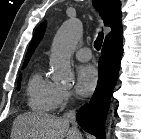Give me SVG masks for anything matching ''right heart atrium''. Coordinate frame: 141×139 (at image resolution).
<instances>
[{"mask_svg": "<svg viewBox=\"0 0 141 139\" xmlns=\"http://www.w3.org/2000/svg\"><path fill=\"white\" fill-rule=\"evenodd\" d=\"M72 98V93L68 89L57 87L54 109H62L66 107L71 103Z\"/></svg>", "mask_w": 141, "mask_h": 139, "instance_id": "obj_1", "label": "right heart atrium"}]
</instances>
